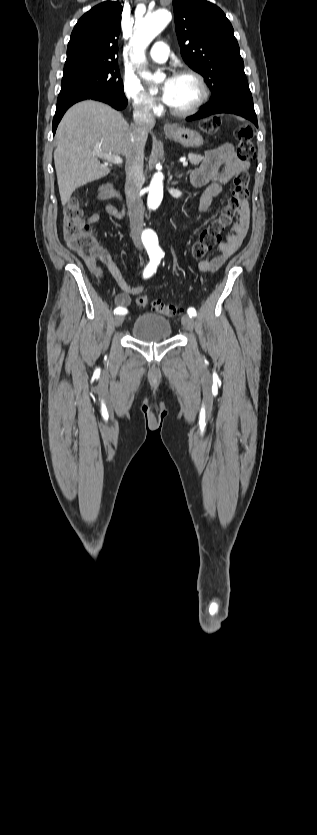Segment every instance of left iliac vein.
<instances>
[{
	"mask_svg": "<svg viewBox=\"0 0 317 835\" xmlns=\"http://www.w3.org/2000/svg\"><path fill=\"white\" fill-rule=\"evenodd\" d=\"M183 327L188 331H193L194 329V320L188 316L184 315L181 319Z\"/></svg>",
	"mask_w": 317,
	"mask_h": 835,
	"instance_id": "obj_1",
	"label": "left iliac vein"
}]
</instances>
